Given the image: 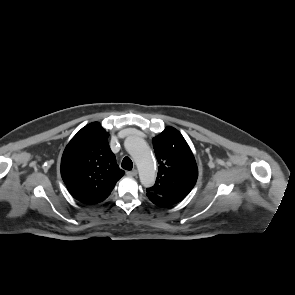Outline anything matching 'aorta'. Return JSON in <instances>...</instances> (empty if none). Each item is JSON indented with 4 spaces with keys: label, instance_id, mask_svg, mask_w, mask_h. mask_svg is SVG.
<instances>
[{
    "label": "aorta",
    "instance_id": "762f6f07",
    "mask_svg": "<svg viewBox=\"0 0 295 295\" xmlns=\"http://www.w3.org/2000/svg\"><path fill=\"white\" fill-rule=\"evenodd\" d=\"M124 145L137 165L141 184L144 187H151L155 182L156 174L150 147L144 139L138 136L127 137Z\"/></svg>",
    "mask_w": 295,
    "mask_h": 295
}]
</instances>
